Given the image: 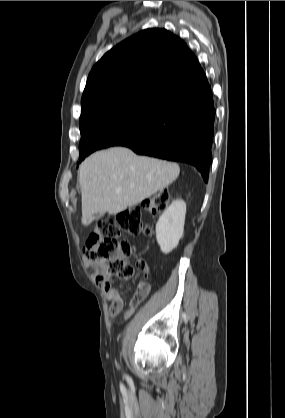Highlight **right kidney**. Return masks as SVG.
Masks as SVG:
<instances>
[{
    "label": "right kidney",
    "mask_w": 285,
    "mask_h": 418,
    "mask_svg": "<svg viewBox=\"0 0 285 418\" xmlns=\"http://www.w3.org/2000/svg\"><path fill=\"white\" fill-rule=\"evenodd\" d=\"M186 204L183 200L173 201L156 224V239L163 253L175 249L184 231Z\"/></svg>",
    "instance_id": "obj_1"
}]
</instances>
